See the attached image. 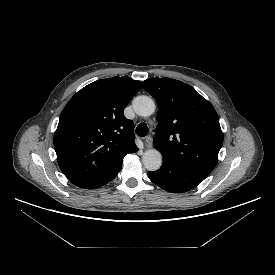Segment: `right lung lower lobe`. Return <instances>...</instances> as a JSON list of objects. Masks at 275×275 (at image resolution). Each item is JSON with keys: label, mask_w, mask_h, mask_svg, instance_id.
Returning <instances> with one entry per match:
<instances>
[{"label": "right lung lower lobe", "mask_w": 275, "mask_h": 275, "mask_svg": "<svg viewBox=\"0 0 275 275\" xmlns=\"http://www.w3.org/2000/svg\"><path fill=\"white\" fill-rule=\"evenodd\" d=\"M120 169H121V168H120ZM120 169L117 170L116 172H114V173H113L112 175H110L109 177H107V178H105V179H103V180H101V181H98V182H96V183L90 185V186L87 187V188H88V189H93V188H98V187H100V186H103V185L107 184L109 181H111L112 179H114V178L116 177V175L118 174V172L120 171Z\"/></svg>", "instance_id": "98d812e1"}]
</instances>
